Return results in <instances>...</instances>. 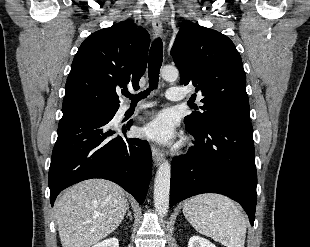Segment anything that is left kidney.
<instances>
[{"instance_id":"1","label":"left kidney","mask_w":310,"mask_h":247,"mask_svg":"<svg viewBox=\"0 0 310 247\" xmlns=\"http://www.w3.org/2000/svg\"><path fill=\"white\" fill-rule=\"evenodd\" d=\"M188 247H216L209 240L200 236H192L188 242Z\"/></svg>"}]
</instances>
